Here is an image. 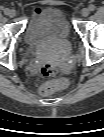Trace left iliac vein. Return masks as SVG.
Wrapping results in <instances>:
<instances>
[{
  "label": "left iliac vein",
  "mask_w": 104,
  "mask_h": 137,
  "mask_svg": "<svg viewBox=\"0 0 104 137\" xmlns=\"http://www.w3.org/2000/svg\"><path fill=\"white\" fill-rule=\"evenodd\" d=\"M89 14H90V10H89L88 8H83V9L81 10V15H82L83 17H87V16H89Z\"/></svg>",
  "instance_id": "obj_1"
}]
</instances>
